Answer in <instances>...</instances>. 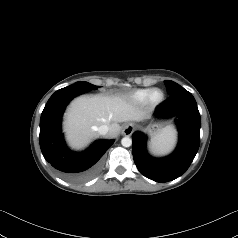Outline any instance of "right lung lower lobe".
I'll use <instances>...</instances> for the list:
<instances>
[{
	"mask_svg": "<svg viewBox=\"0 0 238 238\" xmlns=\"http://www.w3.org/2000/svg\"><path fill=\"white\" fill-rule=\"evenodd\" d=\"M87 91L77 84L57 90L48 100L40 119V147L44 158L71 182H83L99 170V159L114 140H97L81 153L71 151L61 132L62 114L67 104Z\"/></svg>",
	"mask_w": 238,
	"mask_h": 238,
	"instance_id": "obj_1",
	"label": "right lung lower lobe"
}]
</instances>
